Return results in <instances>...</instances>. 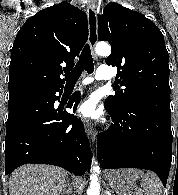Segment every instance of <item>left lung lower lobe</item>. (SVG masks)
Wrapping results in <instances>:
<instances>
[{"label":"left lung lower lobe","mask_w":178,"mask_h":195,"mask_svg":"<svg viewBox=\"0 0 178 195\" xmlns=\"http://www.w3.org/2000/svg\"><path fill=\"white\" fill-rule=\"evenodd\" d=\"M114 124L97 137L102 169L142 168L155 172L166 186L172 161L171 114L134 105L114 111Z\"/></svg>","instance_id":"obj_1"}]
</instances>
